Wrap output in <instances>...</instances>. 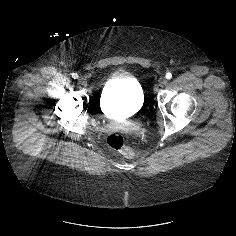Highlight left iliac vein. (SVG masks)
Here are the masks:
<instances>
[{
    "label": "left iliac vein",
    "instance_id": "obj_1",
    "mask_svg": "<svg viewBox=\"0 0 236 236\" xmlns=\"http://www.w3.org/2000/svg\"><path fill=\"white\" fill-rule=\"evenodd\" d=\"M166 83H167V80H166L165 77H161V78H159V80H158V85H159L160 87L165 86Z\"/></svg>",
    "mask_w": 236,
    "mask_h": 236
}]
</instances>
